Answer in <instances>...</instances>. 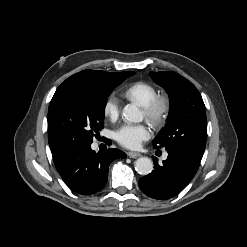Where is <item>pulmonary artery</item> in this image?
I'll list each match as a JSON object with an SVG mask.
<instances>
[{"label":"pulmonary artery","mask_w":247,"mask_h":247,"mask_svg":"<svg viewBox=\"0 0 247 247\" xmlns=\"http://www.w3.org/2000/svg\"><path fill=\"white\" fill-rule=\"evenodd\" d=\"M163 158H167V154H164Z\"/></svg>","instance_id":"pulmonary-artery-1"}]
</instances>
